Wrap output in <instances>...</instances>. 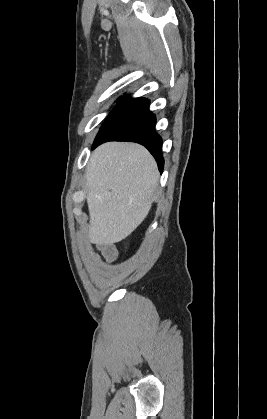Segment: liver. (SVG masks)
<instances>
[{"instance_id": "liver-1", "label": "liver", "mask_w": 267, "mask_h": 419, "mask_svg": "<svg viewBox=\"0 0 267 419\" xmlns=\"http://www.w3.org/2000/svg\"><path fill=\"white\" fill-rule=\"evenodd\" d=\"M158 180L154 158L139 144L108 142L94 150L86 170L90 241L129 236L148 215Z\"/></svg>"}]
</instances>
